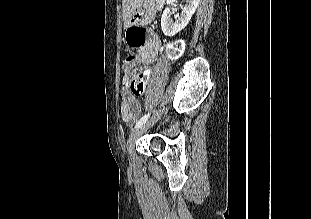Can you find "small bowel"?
<instances>
[{
  "instance_id": "c3829d8e",
  "label": "small bowel",
  "mask_w": 311,
  "mask_h": 219,
  "mask_svg": "<svg viewBox=\"0 0 311 219\" xmlns=\"http://www.w3.org/2000/svg\"><path fill=\"white\" fill-rule=\"evenodd\" d=\"M132 28L133 27L127 32L128 39L131 37ZM130 46L134 51L140 49L144 63L150 64L157 56L160 41L154 34H151L146 41L144 40L138 45L130 44ZM129 82V77L124 76L122 79V100L120 104L121 117L127 123L133 122L141 111L140 102L137 97L129 91Z\"/></svg>"
}]
</instances>
